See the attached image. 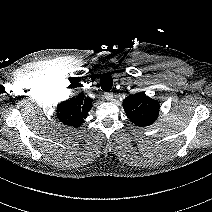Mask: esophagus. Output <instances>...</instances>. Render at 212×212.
<instances>
[{
	"label": "esophagus",
	"mask_w": 212,
	"mask_h": 212,
	"mask_svg": "<svg viewBox=\"0 0 212 212\" xmlns=\"http://www.w3.org/2000/svg\"><path fill=\"white\" fill-rule=\"evenodd\" d=\"M104 98H105L107 101H113V100H114V95H113V93H111V92H105V93H104Z\"/></svg>",
	"instance_id": "34e87169"
}]
</instances>
